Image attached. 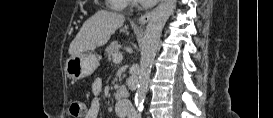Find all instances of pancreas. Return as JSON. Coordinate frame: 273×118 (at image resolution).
Wrapping results in <instances>:
<instances>
[{"instance_id": "pancreas-1", "label": "pancreas", "mask_w": 273, "mask_h": 118, "mask_svg": "<svg viewBox=\"0 0 273 118\" xmlns=\"http://www.w3.org/2000/svg\"><path fill=\"white\" fill-rule=\"evenodd\" d=\"M119 50V46H118V43L115 41V42H112L107 48H106V57L108 59H111L113 57V55L115 53H117Z\"/></svg>"}]
</instances>
